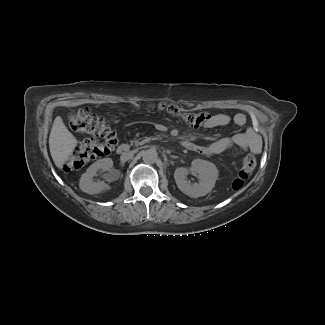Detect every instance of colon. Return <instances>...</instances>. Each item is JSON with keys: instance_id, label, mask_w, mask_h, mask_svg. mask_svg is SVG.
<instances>
[{"instance_id": "1", "label": "colon", "mask_w": 325, "mask_h": 325, "mask_svg": "<svg viewBox=\"0 0 325 325\" xmlns=\"http://www.w3.org/2000/svg\"><path fill=\"white\" fill-rule=\"evenodd\" d=\"M155 109L180 118L188 126L195 128L202 126L210 118V115L206 113L183 112L174 105L159 104ZM69 123L72 130L89 137L80 142L67 159L68 170L78 169L94 159L110 154L117 143L116 134L109 123L88 108L72 113L69 116ZM255 167V157L251 154L246 155L242 160L238 176L232 183L234 190H239L244 186Z\"/></svg>"}]
</instances>
